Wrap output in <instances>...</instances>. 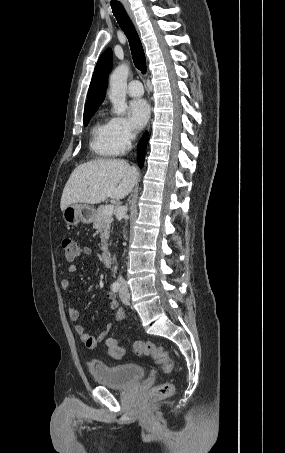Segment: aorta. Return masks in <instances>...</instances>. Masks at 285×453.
Listing matches in <instances>:
<instances>
[{
	"mask_svg": "<svg viewBox=\"0 0 285 453\" xmlns=\"http://www.w3.org/2000/svg\"><path fill=\"white\" fill-rule=\"evenodd\" d=\"M129 66L119 65L110 76L109 99L113 106V112L117 115H124L127 109L126 90Z\"/></svg>",
	"mask_w": 285,
	"mask_h": 453,
	"instance_id": "aorta-1",
	"label": "aorta"
}]
</instances>
